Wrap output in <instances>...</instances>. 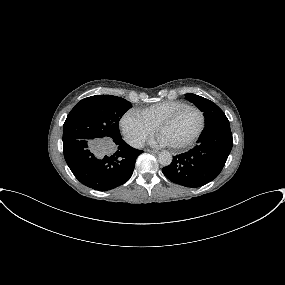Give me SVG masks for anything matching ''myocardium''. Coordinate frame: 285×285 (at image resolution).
<instances>
[{"mask_svg": "<svg viewBox=\"0 0 285 285\" xmlns=\"http://www.w3.org/2000/svg\"><path fill=\"white\" fill-rule=\"evenodd\" d=\"M185 109H194V110H196L198 112V114L200 116V126H199L197 132L189 140H187L186 142H184V143H182L180 145H170V147L172 149H175V150L184 149V148H187V147L193 145L199 139L201 134L203 133L205 125H206V119H205V115H204L203 111L199 107H197L195 105L186 104V105L178 108L177 110H175L173 113H171L166 118H164L156 126V131L159 132L163 127L171 124L176 119V117Z\"/></svg>", "mask_w": 285, "mask_h": 285, "instance_id": "myocardium-1", "label": "myocardium"}]
</instances>
